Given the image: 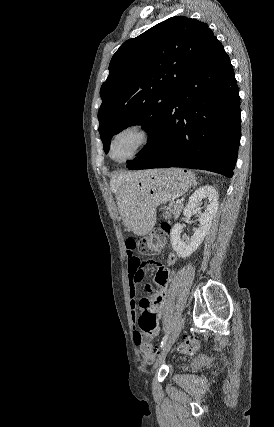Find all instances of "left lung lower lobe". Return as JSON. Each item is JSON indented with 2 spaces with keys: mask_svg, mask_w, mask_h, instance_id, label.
Segmentation results:
<instances>
[{
  "mask_svg": "<svg viewBox=\"0 0 274 427\" xmlns=\"http://www.w3.org/2000/svg\"><path fill=\"white\" fill-rule=\"evenodd\" d=\"M240 136L238 86L230 59L214 37L180 84L152 147L127 168L183 167L231 178Z\"/></svg>",
  "mask_w": 274,
  "mask_h": 427,
  "instance_id": "1",
  "label": "left lung lower lobe"
}]
</instances>
